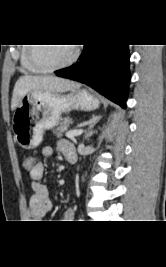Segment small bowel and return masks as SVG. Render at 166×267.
Wrapping results in <instances>:
<instances>
[{
  "label": "small bowel",
  "instance_id": "obj_1",
  "mask_svg": "<svg viewBox=\"0 0 166 267\" xmlns=\"http://www.w3.org/2000/svg\"><path fill=\"white\" fill-rule=\"evenodd\" d=\"M57 148L69 161L70 157L76 158L74 146L67 140H59L57 142ZM41 155L44 158H49L53 155V148L51 146H45L41 150ZM44 164L42 162H36L34 167L29 170L31 178L32 196L29 202L28 215L32 219H41L45 217L53 208V202L49 196V192L46 186L41 182L44 174ZM74 219L73 209H67L61 222H72Z\"/></svg>",
  "mask_w": 166,
  "mask_h": 267
}]
</instances>
